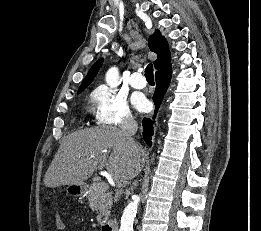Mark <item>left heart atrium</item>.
Segmentation results:
<instances>
[{
  "label": "left heart atrium",
  "instance_id": "39dd6f15",
  "mask_svg": "<svg viewBox=\"0 0 261 231\" xmlns=\"http://www.w3.org/2000/svg\"><path fill=\"white\" fill-rule=\"evenodd\" d=\"M133 106L140 112H145L149 108V102L147 98L140 94V93H134L131 98Z\"/></svg>",
  "mask_w": 261,
  "mask_h": 231
}]
</instances>
